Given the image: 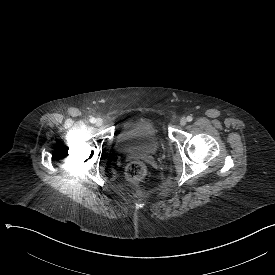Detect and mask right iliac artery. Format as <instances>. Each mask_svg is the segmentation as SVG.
I'll return each mask as SVG.
<instances>
[{"label":"right iliac artery","instance_id":"1","mask_svg":"<svg viewBox=\"0 0 275 275\" xmlns=\"http://www.w3.org/2000/svg\"><path fill=\"white\" fill-rule=\"evenodd\" d=\"M90 122H91V123H95V122H96V119H95L94 117H91V118H90Z\"/></svg>","mask_w":275,"mask_h":275}]
</instances>
